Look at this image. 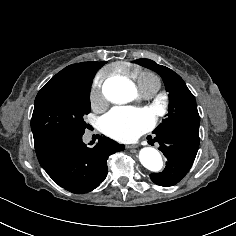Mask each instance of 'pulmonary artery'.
<instances>
[{"mask_svg":"<svg viewBox=\"0 0 236 236\" xmlns=\"http://www.w3.org/2000/svg\"><path fill=\"white\" fill-rule=\"evenodd\" d=\"M154 94V92H143L142 95L144 97H151Z\"/></svg>","mask_w":236,"mask_h":236,"instance_id":"1","label":"pulmonary artery"}]
</instances>
